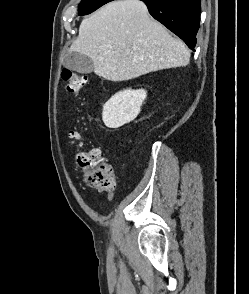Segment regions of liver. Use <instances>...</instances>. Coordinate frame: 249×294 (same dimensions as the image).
Instances as JSON below:
<instances>
[{
  "mask_svg": "<svg viewBox=\"0 0 249 294\" xmlns=\"http://www.w3.org/2000/svg\"><path fill=\"white\" fill-rule=\"evenodd\" d=\"M69 51L90 57L94 73L114 82L184 67L190 59L183 41L153 20L140 0L113 1L83 19Z\"/></svg>",
  "mask_w": 249,
  "mask_h": 294,
  "instance_id": "6515ba94",
  "label": "liver"
}]
</instances>
